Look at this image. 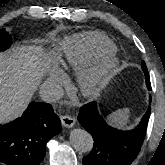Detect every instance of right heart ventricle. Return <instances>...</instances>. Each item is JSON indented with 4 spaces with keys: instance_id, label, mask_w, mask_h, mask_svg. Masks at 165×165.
<instances>
[{
    "instance_id": "e07e8e85",
    "label": "right heart ventricle",
    "mask_w": 165,
    "mask_h": 165,
    "mask_svg": "<svg viewBox=\"0 0 165 165\" xmlns=\"http://www.w3.org/2000/svg\"><path fill=\"white\" fill-rule=\"evenodd\" d=\"M63 65L77 69L88 61L115 52L113 42L98 32H86L66 41Z\"/></svg>"
}]
</instances>
